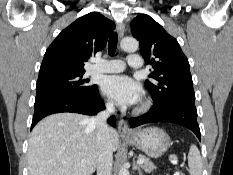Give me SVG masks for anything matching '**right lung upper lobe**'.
I'll use <instances>...</instances> for the list:
<instances>
[{
  "mask_svg": "<svg viewBox=\"0 0 233 175\" xmlns=\"http://www.w3.org/2000/svg\"><path fill=\"white\" fill-rule=\"evenodd\" d=\"M114 28L113 21L96 12L78 18L46 50L38 78L85 71L84 63L104 49Z\"/></svg>",
  "mask_w": 233,
  "mask_h": 175,
  "instance_id": "cb5924a9",
  "label": "right lung upper lobe"
}]
</instances>
